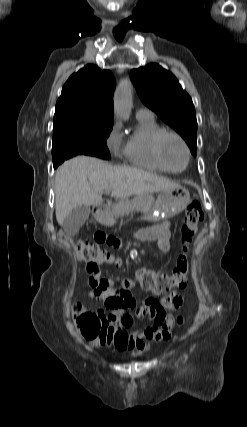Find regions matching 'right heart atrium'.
Wrapping results in <instances>:
<instances>
[{"instance_id": "obj_1", "label": "right heart atrium", "mask_w": 247, "mask_h": 427, "mask_svg": "<svg viewBox=\"0 0 247 427\" xmlns=\"http://www.w3.org/2000/svg\"><path fill=\"white\" fill-rule=\"evenodd\" d=\"M121 126L119 123H114L112 128L110 129L107 138L106 145L107 147L114 153H117L121 144V134H120Z\"/></svg>"}]
</instances>
